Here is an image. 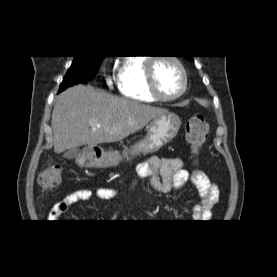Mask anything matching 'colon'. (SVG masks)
Returning <instances> with one entry per match:
<instances>
[{
    "label": "colon",
    "mask_w": 277,
    "mask_h": 277,
    "mask_svg": "<svg viewBox=\"0 0 277 277\" xmlns=\"http://www.w3.org/2000/svg\"><path fill=\"white\" fill-rule=\"evenodd\" d=\"M209 133V125L203 115H195L186 123L185 138L192 152L197 153L204 145ZM63 180L62 168L55 163L49 164L39 175L38 182L43 189L59 186Z\"/></svg>",
    "instance_id": "obj_1"
}]
</instances>
